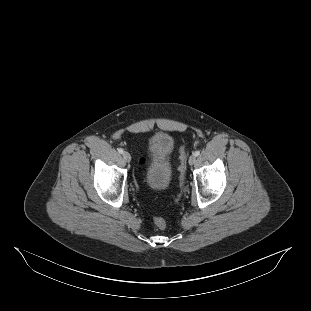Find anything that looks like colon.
Wrapping results in <instances>:
<instances>
[{
  "label": "colon",
  "mask_w": 311,
  "mask_h": 311,
  "mask_svg": "<svg viewBox=\"0 0 311 311\" xmlns=\"http://www.w3.org/2000/svg\"><path fill=\"white\" fill-rule=\"evenodd\" d=\"M185 159H186V152H185V146H182L180 148V166H179V180H180V187L182 188L185 181ZM140 163H143V159L140 160ZM180 199V195L177 196L175 201L177 202ZM154 225L159 229H165L166 228V220L163 217H155L153 219Z\"/></svg>",
  "instance_id": "1"
}]
</instances>
